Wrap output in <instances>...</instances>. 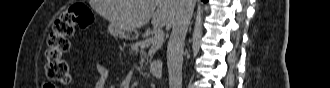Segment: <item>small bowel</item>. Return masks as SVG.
<instances>
[{
  "label": "small bowel",
  "instance_id": "obj_1",
  "mask_svg": "<svg viewBox=\"0 0 330 88\" xmlns=\"http://www.w3.org/2000/svg\"><path fill=\"white\" fill-rule=\"evenodd\" d=\"M94 67L98 73V81L96 87L103 88L108 77V69L100 61H95Z\"/></svg>",
  "mask_w": 330,
  "mask_h": 88
}]
</instances>
